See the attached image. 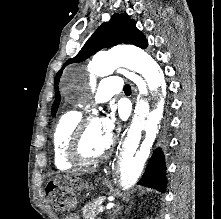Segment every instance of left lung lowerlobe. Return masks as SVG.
I'll return each instance as SVG.
<instances>
[{
  "label": "left lung lower lobe",
  "mask_w": 221,
  "mask_h": 219,
  "mask_svg": "<svg viewBox=\"0 0 221 219\" xmlns=\"http://www.w3.org/2000/svg\"><path fill=\"white\" fill-rule=\"evenodd\" d=\"M138 184L154 188L160 192L166 190V167L164 155L160 148L154 151Z\"/></svg>",
  "instance_id": "obj_1"
}]
</instances>
